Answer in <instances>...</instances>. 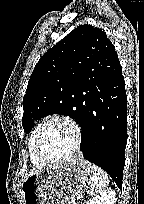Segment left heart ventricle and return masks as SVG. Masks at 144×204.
<instances>
[{
    "label": "left heart ventricle",
    "instance_id": "b2bd125f",
    "mask_svg": "<svg viewBox=\"0 0 144 204\" xmlns=\"http://www.w3.org/2000/svg\"><path fill=\"white\" fill-rule=\"evenodd\" d=\"M74 143L72 128L65 123L57 122L45 131L41 140V151L49 158H62L73 150Z\"/></svg>",
    "mask_w": 144,
    "mask_h": 204
}]
</instances>
